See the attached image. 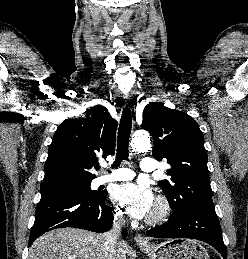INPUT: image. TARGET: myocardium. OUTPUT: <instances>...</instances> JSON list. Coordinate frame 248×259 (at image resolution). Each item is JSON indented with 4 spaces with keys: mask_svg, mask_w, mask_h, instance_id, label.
I'll return each instance as SVG.
<instances>
[{
    "mask_svg": "<svg viewBox=\"0 0 248 259\" xmlns=\"http://www.w3.org/2000/svg\"><path fill=\"white\" fill-rule=\"evenodd\" d=\"M156 212L147 217L146 222L156 225L164 222L171 214L172 208L168 199L162 195L157 196L155 201Z\"/></svg>",
    "mask_w": 248,
    "mask_h": 259,
    "instance_id": "1",
    "label": "myocardium"
}]
</instances>
